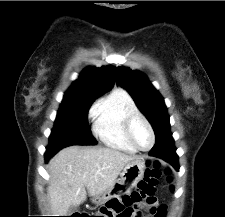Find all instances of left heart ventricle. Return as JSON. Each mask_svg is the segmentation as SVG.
I'll return each instance as SVG.
<instances>
[{"label": "left heart ventricle", "mask_w": 225, "mask_h": 217, "mask_svg": "<svg viewBox=\"0 0 225 217\" xmlns=\"http://www.w3.org/2000/svg\"><path fill=\"white\" fill-rule=\"evenodd\" d=\"M133 135L140 147L148 148L151 145L152 137L150 131L141 120L135 121L133 125Z\"/></svg>", "instance_id": "obj_1"}]
</instances>
